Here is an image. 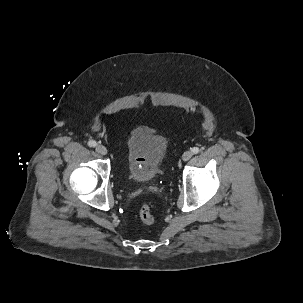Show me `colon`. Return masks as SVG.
I'll list each match as a JSON object with an SVG mask.
<instances>
[{
    "label": "colon",
    "instance_id": "colon-1",
    "mask_svg": "<svg viewBox=\"0 0 303 303\" xmlns=\"http://www.w3.org/2000/svg\"><path fill=\"white\" fill-rule=\"evenodd\" d=\"M141 221L146 225H152L155 222V218L151 212L149 205L143 204L138 211Z\"/></svg>",
    "mask_w": 303,
    "mask_h": 303
}]
</instances>
